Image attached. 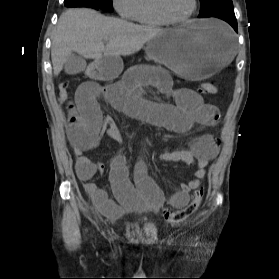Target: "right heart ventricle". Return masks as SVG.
<instances>
[{
    "label": "right heart ventricle",
    "mask_w": 279,
    "mask_h": 279,
    "mask_svg": "<svg viewBox=\"0 0 279 279\" xmlns=\"http://www.w3.org/2000/svg\"><path fill=\"white\" fill-rule=\"evenodd\" d=\"M133 20L144 26H164L167 22L159 15L155 0H137Z\"/></svg>",
    "instance_id": "e07e8e85"
}]
</instances>
